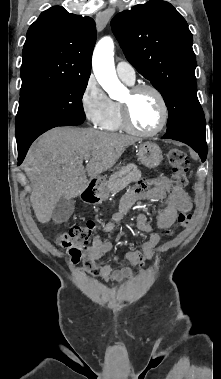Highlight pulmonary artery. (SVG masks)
<instances>
[{
	"label": "pulmonary artery",
	"instance_id": "obj_1",
	"mask_svg": "<svg viewBox=\"0 0 221 379\" xmlns=\"http://www.w3.org/2000/svg\"><path fill=\"white\" fill-rule=\"evenodd\" d=\"M116 72L120 79L132 84L136 79L135 70L128 62H119L116 66Z\"/></svg>",
	"mask_w": 221,
	"mask_h": 379
}]
</instances>
